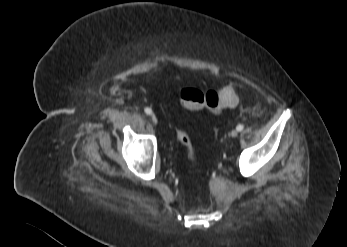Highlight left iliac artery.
Here are the masks:
<instances>
[{
	"instance_id": "44dca946",
	"label": "left iliac artery",
	"mask_w": 347,
	"mask_h": 247,
	"mask_svg": "<svg viewBox=\"0 0 347 247\" xmlns=\"http://www.w3.org/2000/svg\"><path fill=\"white\" fill-rule=\"evenodd\" d=\"M243 125H241V124H239L237 127H236V129H237V131H242L243 130Z\"/></svg>"
}]
</instances>
